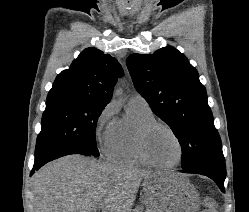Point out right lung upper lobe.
<instances>
[{
  "label": "right lung upper lobe",
  "instance_id": "1",
  "mask_svg": "<svg viewBox=\"0 0 249 212\" xmlns=\"http://www.w3.org/2000/svg\"><path fill=\"white\" fill-rule=\"evenodd\" d=\"M123 70L115 58L96 48L85 49L55 79L47 99L78 98L106 106Z\"/></svg>",
  "mask_w": 249,
  "mask_h": 212
}]
</instances>
